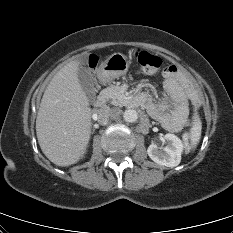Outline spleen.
<instances>
[{
    "mask_svg": "<svg viewBox=\"0 0 233 233\" xmlns=\"http://www.w3.org/2000/svg\"><path fill=\"white\" fill-rule=\"evenodd\" d=\"M201 130H202L201 120L199 118V115L195 113L193 116L192 127L190 129V135H189L191 148H195L199 143V140L201 138Z\"/></svg>",
    "mask_w": 233,
    "mask_h": 233,
    "instance_id": "3e777b00",
    "label": "spleen"
}]
</instances>
